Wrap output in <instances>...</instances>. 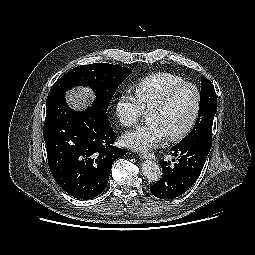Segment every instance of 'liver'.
Listing matches in <instances>:
<instances>
[{"label":"liver","instance_id":"1","mask_svg":"<svg viewBox=\"0 0 255 255\" xmlns=\"http://www.w3.org/2000/svg\"><path fill=\"white\" fill-rule=\"evenodd\" d=\"M91 98L92 94L87 89L79 88L76 91H70L67 93V101L74 109L77 110L85 108Z\"/></svg>","mask_w":255,"mask_h":255}]
</instances>
